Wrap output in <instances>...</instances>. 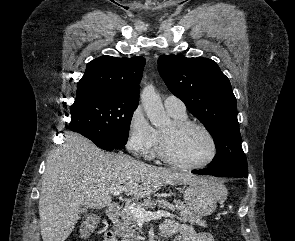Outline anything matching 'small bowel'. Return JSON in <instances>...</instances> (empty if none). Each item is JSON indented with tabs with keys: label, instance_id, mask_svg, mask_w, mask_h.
<instances>
[{
	"label": "small bowel",
	"instance_id": "obj_1",
	"mask_svg": "<svg viewBox=\"0 0 295 241\" xmlns=\"http://www.w3.org/2000/svg\"><path fill=\"white\" fill-rule=\"evenodd\" d=\"M161 231L165 236H174L175 241H213L207 233L196 232L190 225L174 220L165 221ZM104 241H116V238L112 232H107Z\"/></svg>",
	"mask_w": 295,
	"mask_h": 241
}]
</instances>
